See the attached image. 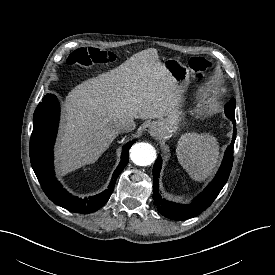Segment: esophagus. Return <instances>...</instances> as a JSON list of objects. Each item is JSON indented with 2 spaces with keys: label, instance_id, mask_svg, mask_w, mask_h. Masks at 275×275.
<instances>
[{
  "label": "esophagus",
  "instance_id": "esophagus-1",
  "mask_svg": "<svg viewBox=\"0 0 275 275\" xmlns=\"http://www.w3.org/2000/svg\"><path fill=\"white\" fill-rule=\"evenodd\" d=\"M149 134L152 136V137H155V136H158L160 134V129L158 128L157 125L153 124L150 126L149 128Z\"/></svg>",
  "mask_w": 275,
  "mask_h": 275
}]
</instances>
